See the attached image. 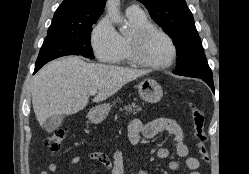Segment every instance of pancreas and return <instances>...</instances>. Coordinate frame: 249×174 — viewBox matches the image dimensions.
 <instances>
[{
    "mask_svg": "<svg viewBox=\"0 0 249 174\" xmlns=\"http://www.w3.org/2000/svg\"><path fill=\"white\" fill-rule=\"evenodd\" d=\"M124 109L127 111H131V110L140 111L141 107L136 106L135 103H131V104H128L127 106H125Z\"/></svg>",
    "mask_w": 249,
    "mask_h": 174,
    "instance_id": "pancreas-1",
    "label": "pancreas"
}]
</instances>
